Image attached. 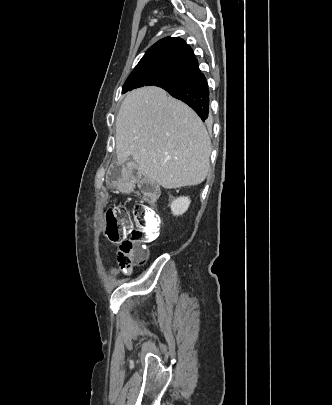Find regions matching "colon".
<instances>
[{"label":"colon","mask_w":332,"mask_h":405,"mask_svg":"<svg viewBox=\"0 0 332 405\" xmlns=\"http://www.w3.org/2000/svg\"><path fill=\"white\" fill-rule=\"evenodd\" d=\"M141 191L146 198L155 199L157 186L142 180ZM105 236L111 242L119 243L118 265L123 270L143 264L147 259L145 242L155 240L160 231L161 219L156 211L144 203H135L131 208L117 205L105 216Z\"/></svg>","instance_id":"1"}]
</instances>
